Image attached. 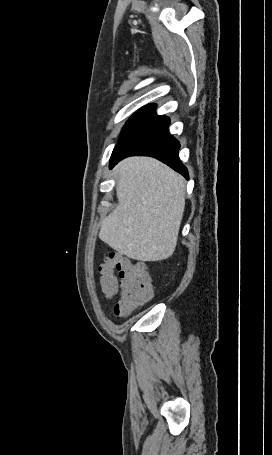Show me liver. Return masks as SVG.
<instances>
[{
    "instance_id": "obj_1",
    "label": "liver",
    "mask_w": 272,
    "mask_h": 455,
    "mask_svg": "<svg viewBox=\"0 0 272 455\" xmlns=\"http://www.w3.org/2000/svg\"><path fill=\"white\" fill-rule=\"evenodd\" d=\"M118 205L101 222L99 238L131 259L169 258L185 208L183 178L150 157H130L115 167Z\"/></svg>"
}]
</instances>
